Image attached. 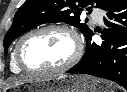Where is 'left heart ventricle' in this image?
Returning a JSON list of instances; mask_svg holds the SVG:
<instances>
[{
	"label": "left heart ventricle",
	"instance_id": "1",
	"mask_svg": "<svg viewBox=\"0 0 127 92\" xmlns=\"http://www.w3.org/2000/svg\"><path fill=\"white\" fill-rule=\"evenodd\" d=\"M74 52L71 36L60 30H48L29 38L23 48L24 63L32 69L56 68Z\"/></svg>",
	"mask_w": 127,
	"mask_h": 92
}]
</instances>
